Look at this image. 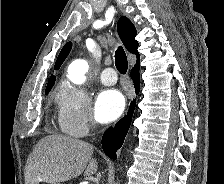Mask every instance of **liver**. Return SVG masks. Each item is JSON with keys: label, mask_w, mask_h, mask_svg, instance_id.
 <instances>
[{"label": "liver", "mask_w": 224, "mask_h": 184, "mask_svg": "<svg viewBox=\"0 0 224 184\" xmlns=\"http://www.w3.org/2000/svg\"><path fill=\"white\" fill-rule=\"evenodd\" d=\"M93 146L85 141L64 135L42 138L29 155L25 170V184L45 182L55 184L74 179L84 173L97 172Z\"/></svg>", "instance_id": "obj_1"}]
</instances>
